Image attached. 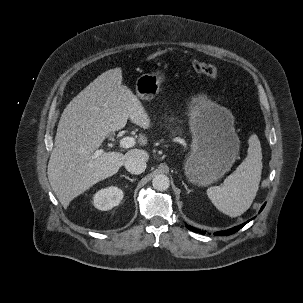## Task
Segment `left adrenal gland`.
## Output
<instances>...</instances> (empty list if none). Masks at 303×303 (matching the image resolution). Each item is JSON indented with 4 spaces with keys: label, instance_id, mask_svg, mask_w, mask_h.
Segmentation results:
<instances>
[{
    "label": "left adrenal gland",
    "instance_id": "obj_1",
    "mask_svg": "<svg viewBox=\"0 0 303 303\" xmlns=\"http://www.w3.org/2000/svg\"><path fill=\"white\" fill-rule=\"evenodd\" d=\"M182 184H183V186L185 187V189H186L187 193H190V192H191V190H189V189H188V187H187V185L184 183V181H182Z\"/></svg>",
    "mask_w": 303,
    "mask_h": 303
}]
</instances>
